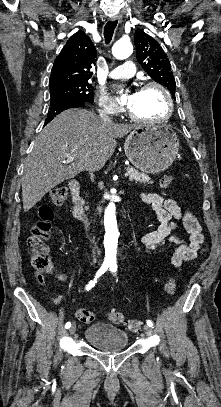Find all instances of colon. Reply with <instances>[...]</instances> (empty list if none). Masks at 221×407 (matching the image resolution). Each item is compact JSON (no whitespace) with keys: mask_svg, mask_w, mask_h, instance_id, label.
Returning a JSON list of instances; mask_svg holds the SVG:
<instances>
[{"mask_svg":"<svg viewBox=\"0 0 221 407\" xmlns=\"http://www.w3.org/2000/svg\"><path fill=\"white\" fill-rule=\"evenodd\" d=\"M173 184V177L165 175L160 180L162 188H169ZM49 198L51 204L41 205L38 209V222L32 228V234L29 239V246L31 250V262L34 269L39 273H53L54 267L51 263L49 256V249L45 245L52 232V220L54 213L53 206H61L67 199V188L63 186L53 187L49 191ZM182 260V258H179ZM165 293L169 296L175 294L176 283L173 278H168L164 285ZM76 318L82 323H90L94 319V315L87 309H77ZM108 320L111 323L119 324L124 323L129 331L138 333L142 329V321L138 319H125L123 314L117 310H109L106 313Z\"/></svg>","mask_w":221,"mask_h":407,"instance_id":"5ec220e1","label":"colon"}]
</instances>
